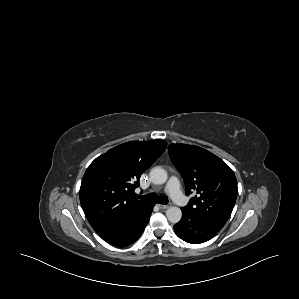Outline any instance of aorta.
Masks as SVG:
<instances>
[{"label":"aorta","instance_id":"1","mask_svg":"<svg viewBox=\"0 0 299 299\" xmlns=\"http://www.w3.org/2000/svg\"><path fill=\"white\" fill-rule=\"evenodd\" d=\"M167 178V172L159 166L152 168L150 171V179L154 184H164ZM166 216L171 223H178L181 220L182 211L179 207L172 206L167 209Z\"/></svg>","mask_w":299,"mask_h":299}]
</instances>
